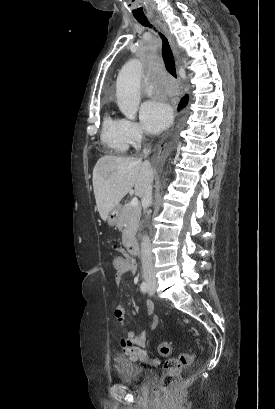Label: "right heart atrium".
<instances>
[{"label": "right heart atrium", "instance_id": "d8ad5b80", "mask_svg": "<svg viewBox=\"0 0 275 409\" xmlns=\"http://www.w3.org/2000/svg\"><path fill=\"white\" fill-rule=\"evenodd\" d=\"M125 132L130 145L137 147L146 138L147 131L143 124L133 120H123Z\"/></svg>", "mask_w": 275, "mask_h": 409}]
</instances>
